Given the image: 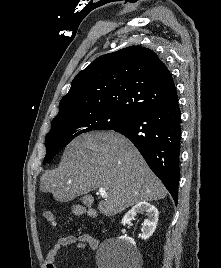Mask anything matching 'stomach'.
<instances>
[{"instance_id":"0dacf381","label":"stomach","mask_w":221,"mask_h":268,"mask_svg":"<svg viewBox=\"0 0 221 268\" xmlns=\"http://www.w3.org/2000/svg\"><path fill=\"white\" fill-rule=\"evenodd\" d=\"M75 213H79V211L76 210Z\"/></svg>"}]
</instances>
